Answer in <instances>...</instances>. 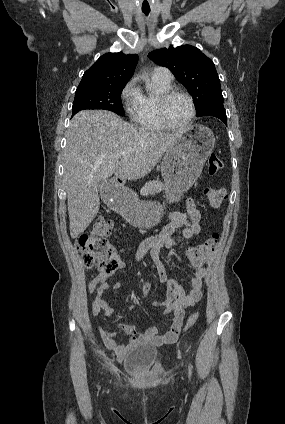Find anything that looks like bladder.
<instances>
[{
    "mask_svg": "<svg viewBox=\"0 0 285 424\" xmlns=\"http://www.w3.org/2000/svg\"><path fill=\"white\" fill-rule=\"evenodd\" d=\"M162 350L151 344H142L130 349L123 360L124 366L132 372L139 373L153 366Z\"/></svg>",
    "mask_w": 285,
    "mask_h": 424,
    "instance_id": "obj_1",
    "label": "bladder"
}]
</instances>
